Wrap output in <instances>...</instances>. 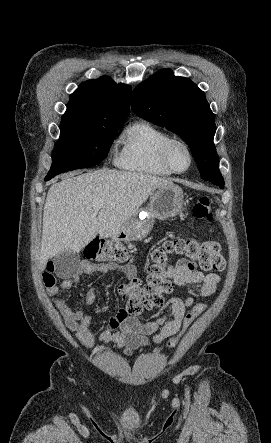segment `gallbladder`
Masks as SVG:
<instances>
[{
	"mask_svg": "<svg viewBox=\"0 0 271 443\" xmlns=\"http://www.w3.org/2000/svg\"><path fill=\"white\" fill-rule=\"evenodd\" d=\"M76 259V251H63L56 255L54 267L58 278H71L72 273H77L82 268V261Z\"/></svg>",
	"mask_w": 271,
	"mask_h": 443,
	"instance_id": "gallbladder-1",
	"label": "gallbladder"
}]
</instances>
